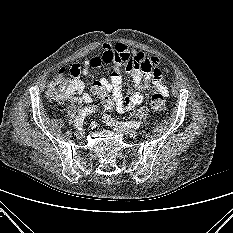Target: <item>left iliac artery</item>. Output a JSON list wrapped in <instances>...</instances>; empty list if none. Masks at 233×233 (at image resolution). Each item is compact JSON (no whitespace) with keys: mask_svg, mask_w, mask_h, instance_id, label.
<instances>
[{"mask_svg":"<svg viewBox=\"0 0 233 233\" xmlns=\"http://www.w3.org/2000/svg\"><path fill=\"white\" fill-rule=\"evenodd\" d=\"M104 120L107 124L109 125H122L127 128H133V129H138L140 127V123L137 121H129V122H118L114 120L111 116L109 115H104Z\"/></svg>","mask_w":233,"mask_h":233,"instance_id":"44dca946","label":"left iliac artery"}]
</instances>
